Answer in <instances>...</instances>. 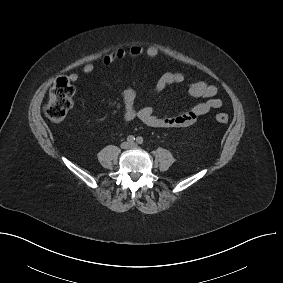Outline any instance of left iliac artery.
<instances>
[{"instance_id": "obj_1", "label": "left iliac artery", "mask_w": 283, "mask_h": 283, "mask_svg": "<svg viewBox=\"0 0 283 283\" xmlns=\"http://www.w3.org/2000/svg\"><path fill=\"white\" fill-rule=\"evenodd\" d=\"M143 138L141 137V136H138L137 138H136V142L138 143V144H142L143 143Z\"/></svg>"}]
</instances>
